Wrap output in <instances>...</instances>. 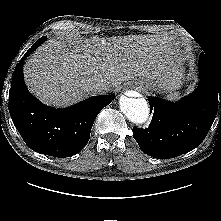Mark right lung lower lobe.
<instances>
[{
  "label": "right lung lower lobe",
  "instance_id": "1",
  "mask_svg": "<svg viewBox=\"0 0 221 221\" xmlns=\"http://www.w3.org/2000/svg\"><path fill=\"white\" fill-rule=\"evenodd\" d=\"M45 40V36L37 40L15 68L9 93V112L29 148L49 156L70 157L86 146L98 113L115 96H94L64 109L42 104L28 91L22 65Z\"/></svg>",
  "mask_w": 221,
  "mask_h": 221
}]
</instances>
